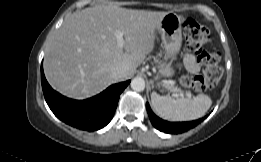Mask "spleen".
Masks as SVG:
<instances>
[{
    "mask_svg": "<svg viewBox=\"0 0 261 162\" xmlns=\"http://www.w3.org/2000/svg\"><path fill=\"white\" fill-rule=\"evenodd\" d=\"M151 102L156 113L169 121H190L205 115L212 104L207 95H197L194 98L181 97L173 99L160 96L156 92L151 94Z\"/></svg>",
    "mask_w": 261,
    "mask_h": 162,
    "instance_id": "spleen-1",
    "label": "spleen"
}]
</instances>
